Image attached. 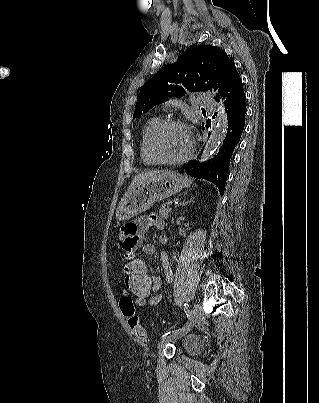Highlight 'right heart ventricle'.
<instances>
[{"mask_svg": "<svg viewBox=\"0 0 319 403\" xmlns=\"http://www.w3.org/2000/svg\"><path fill=\"white\" fill-rule=\"evenodd\" d=\"M162 121L161 116H151L142 129L140 140V154L144 164L152 166L158 164V162L151 156L148 148L149 137L154 128Z\"/></svg>", "mask_w": 319, "mask_h": 403, "instance_id": "e07e8e85", "label": "right heart ventricle"}]
</instances>
